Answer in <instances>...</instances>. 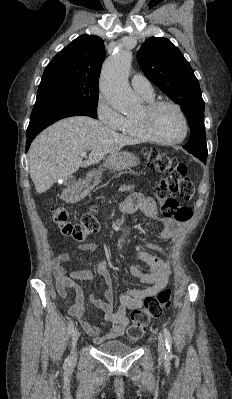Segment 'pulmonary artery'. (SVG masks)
I'll use <instances>...</instances> for the list:
<instances>
[{
  "mask_svg": "<svg viewBox=\"0 0 232 399\" xmlns=\"http://www.w3.org/2000/svg\"><path fill=\"white\" fill-rule=\"evenodd\" d=\"M130 84H133L134 88H139L136 90L137 96H154V83L145 81V73H132V77H130Z\"/></svg>",
  "mask_w": 232,
  "mask_h": 399,
  "instance_id": "e3ab8cb5",
  "label": "pulmonary artery"
}]
</instances>
